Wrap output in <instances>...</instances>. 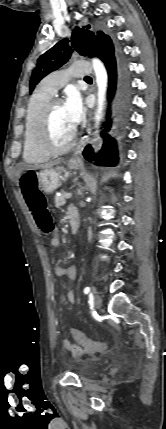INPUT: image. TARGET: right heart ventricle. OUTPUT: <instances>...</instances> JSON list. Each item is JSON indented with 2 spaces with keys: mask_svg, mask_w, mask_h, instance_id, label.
Returning <instances> with one entry per match:
<instances>
[{
  "mask_svg": "<svg viewBox=\"0 0 166 429\" xmlns=\"http://www.w3.org/2000/svg\"><path fill=\"white\" fill-rule=\"evenodd\" d=\"M52 96L53 94L38 88L29 100L23 138V158L28 163H43L51 156L39 146L37 132L42 110Z\"/></svg>",
  "mask_w": 166,
  "mask_h": 429,
  "instance_id": "right-heart-ventricle-1",
  "label": "right heart ventricle"
}]
</instances>
